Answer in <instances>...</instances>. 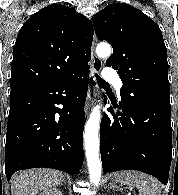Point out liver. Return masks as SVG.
<instances>
[{"label": "liver", "mask_w": 178, "mask_h": 195, "mask_svg": "<svg viewBox=\"0 0 178 195\" xmlns=\"http://www.w3.org/2000/svg\"><path fill=\"white\" fill-rule=\"evenodd\" d=\"M63 182V174L51 169H30L15 173L11 179V195H37Z\"/></svg>", "instance_id": "1"}]
</instances>
